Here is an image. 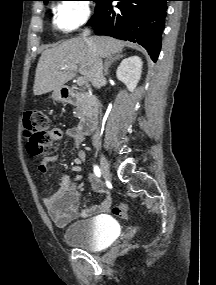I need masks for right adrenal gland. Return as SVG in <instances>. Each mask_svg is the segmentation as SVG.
<instances>
[{
	"label": "right adrenal gland",
	"instance_id": "1",
	"mask_svg": "<svg viewBox=\"0 0 216 285\" xmlns=\"http://www.w3.org/2000/svg\"><path fill=\"white\" fill-rule=\"evenodd\" d=\"M123 55L122 54H117V55H113V56H109L105 59L104 62V74L108 75V68L109 66L116 60L122 58Z\"/></svg>",
	"mask_w": 216,
	"mask_h": 285
}]
</instances>
